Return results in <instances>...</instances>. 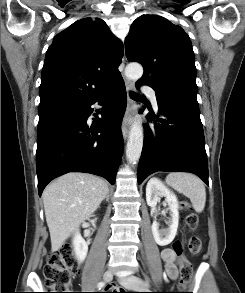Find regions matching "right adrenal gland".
I'll use <instances>...</instances> for the list:
<instances>
[{
	"mask_svg": "<svg viewBox=\"0 0 245 293\" xmlns=\"http://www.w3.org/2000/svg\"><path fill=\"white\" fill-rule=\"evenodd\" d=\"M109 198H110V192H108L106 195V201H109Z\"/></svg>",
	"mask_w": 245,
	"mask_h": 293,
	"instance_id": "obj_1",
	"label": "right adrenal gland"
}]
</instances>
